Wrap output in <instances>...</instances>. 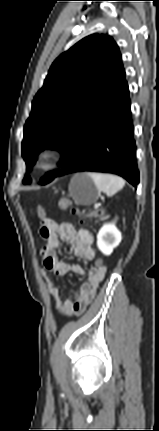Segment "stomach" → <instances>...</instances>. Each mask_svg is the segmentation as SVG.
Returning <instances> with one entry per match:
<instances>
[{
	"label": "stomach",
	"instance_id": "0dacf381",
	"mask_svg": "<svg viewBox=\"0 0 159 431\" xmlns=\"http://www.w3.org/2000/svg\"><path fill=\"white\" fill-rule=\"evenodd\" d=\"M73 200L80 205H90L97 201L99 190L88 173L76 174L70 185Z\"/></svg>",
	"mask_w": 159,
	"mask_h": 431
}]
</instances>
